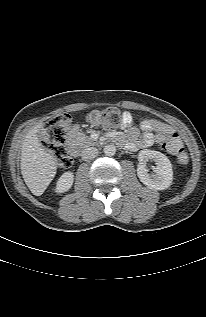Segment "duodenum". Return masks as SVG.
Segmentation results:
<instances>
[{
	"label": "duodenum",
	"instance_id": "410a0bca",
	"mask_svg": "<svg viewBox=\"0 0 206 317\" xmlns=\"http://www.w3.org/2000/svg\"><path fill=\"white\" fill-rule=\"evenodd\" d=\"M67 149H68V151L70 152V154L72 156H78L79 155V146L77 145V143L72 138H70L68 140Z\"/></svg>",
	"mask_w": 206,
	"mask_h": 317
}]
</instances>
